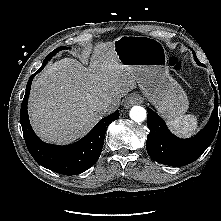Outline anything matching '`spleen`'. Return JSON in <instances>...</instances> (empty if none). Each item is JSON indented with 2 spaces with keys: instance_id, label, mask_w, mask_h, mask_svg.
Returning a JSON list of instances; mask_svg holds the SVG:
<instances>
[{
  "instance_id": "1",
  "label": "spleen",
  "mask_w": 221,
  "mask_h": 221,
  "mask_svg": "<svg viewBox=\"0 0 221 221\" xmlns=\"http://www.w3.org/2000/svg\"><path fill=\"white\" fill-rule=\"evenodd\" d=\"M171 131L181 137L191 136L198 127V119L194 115H180L168 121Z\"/></svg>"
}]
</instances>
